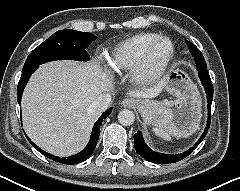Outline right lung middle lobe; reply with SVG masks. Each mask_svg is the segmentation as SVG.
Returning a JSON list of instances; mask_svg holds the SVG:
<instances>
[{
  "label": "right lung middle lobe",
  "instance_id": "obj_1",
  "mask_svg": "<svg viewBox=\"0 0 240 191\" xmlns=\"http://www.w3.org/2000/svg\"><path fill=\"white\" fill-rule=\"evenodd\" d=\"M95 39L89 32L59 30L29 54L23 70L53 60L88 61L86 48Z\"/></svg>",
  "mask_w": 240,
  "mask_h": 191
}]
</instances>
